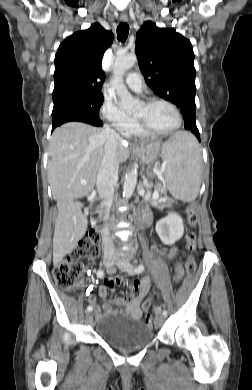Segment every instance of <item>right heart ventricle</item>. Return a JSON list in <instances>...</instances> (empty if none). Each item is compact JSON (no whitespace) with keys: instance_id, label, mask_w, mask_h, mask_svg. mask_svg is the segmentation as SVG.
I'll list each match as a JSON object with an SVG mask.
<instances>
[{"instance_id":"e07e8e85","label":"right heart ventricle","mask_w":252,"mask_h":390,"mask_svg":"<svg viewBox=\"0 0 252 390\" xmlns=\"http://www.w3.org/2000/svg\"><path fill=\"white\" fill-rule=\"evenodd\" d=\"M130 136H135V137H140V138H146L148 137L146 134H144L143 132H141L138 128H137V125L135 124V128L134 130L132 131V133L130 134Z\"/></svg>"}]
</instances>
